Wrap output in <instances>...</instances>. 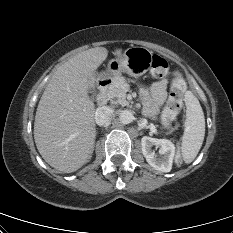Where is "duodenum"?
<instances>
[{"mask_svg": "<svg viewBox=\"0 0 233 233\" xmlns=\"http://www.w3.org/2000/svg\"><path fill=\"white\" fill-rule=\"evenodd\" d=\"M111 79L109 77H103L98 83L99 93L97 96V104L104 106L108 102V89L111 85Z\"/></svg>", "mask_w": 233, "mask_h": 233, "instance_id": "410a0bca", "label": "duodenum"}]
</instances>
